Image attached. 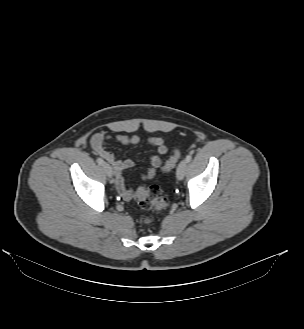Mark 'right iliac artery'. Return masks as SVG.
I'll return each instance as SVG.
<instances>
[{
  "instance_id": "82829eb1",
  "label": "right iliac artery",
  "mask_w": 304,
  "mask_h": 329,
  "mask_svg": "<svg viewBox=\"0 0 304 329\" xmlns=\"http://www.w3.org/2000/svg\"><path fill=\"white\" fill-rule=\"evenodd\" d=\"M97 163L103 165L104 161L101 158H97Z\"/></svg>"
}]
</instances>
